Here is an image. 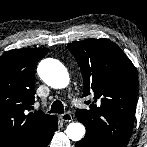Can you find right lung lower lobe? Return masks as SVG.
I'll use <instances>...</instances> for the list:
<instances>
[{
    "mask_svg": "<svg viewBox=\"0 0 147 147\" xmlns=\"http://www.w3.org/2000/svg\"><path fill=\"white\" fill-rule=\"evenodd\" d=\"M57 129V118H55L50 130L45 134L42 138L38 139L34 143H31L25 147H47L49 142L51 141L54 132Z\"/></svg>",
    "mask_w": 147,
    "mask_h": 147,
    "instance_id": "obj_1",
    "label": "right lung lower lobe"
}]
</instances>
